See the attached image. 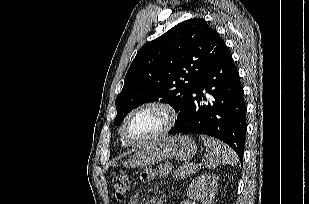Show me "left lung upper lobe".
<instances>
[{
  "label": "left lung upper lobe",
  "instance_id": "obj_1",
  "mask_svg": "<svg viewBox=\"0 0 309 204\" xmlns=\"http://www.w3.org/2000/svg\"><path fill=\"white\" fill-rule=\"evenodd\" d=\"M226 49L216 30L200 18L183 21L144 45L115 100L114 124H121L135 107L157 100L180 112L203 73L220 60Z\"/></svg>",
  "mask_w": 309,
  "mask_h": 204
}]
</instances>
